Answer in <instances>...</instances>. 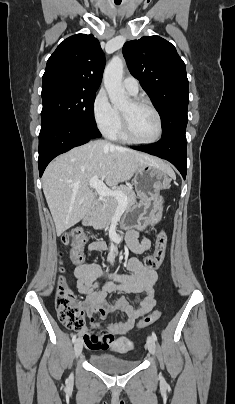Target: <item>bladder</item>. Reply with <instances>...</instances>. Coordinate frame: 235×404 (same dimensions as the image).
Masks as SVG:
<instances>
[{
	"mask_svg": "<svg viewBox=\"0 0 235 404\" xmlns=\"http://www.w3.org/2000/svg\"><path fill=\"white\" fill-rule=\"evenodd\" d=\"M117 348L122 351H127L130 349V347L125 345ZM88 360L95 368L109 373L129 372L138 364L137 360L126 359L107 352L90 354Z\"/></svg>",
	"mask_w": 235,
	"mask_h": 404,
	"instance_id": "1",
	"label": "bladder"
}]
</instances>
